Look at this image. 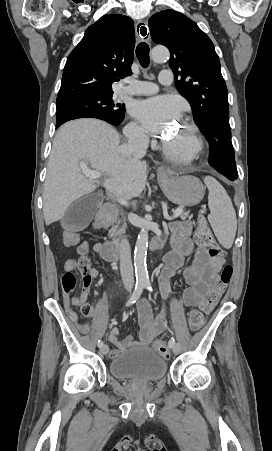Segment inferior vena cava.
Listing matches in <instances>:
<instances>
[{"label": "inferior vena cava", "mask_w": 272, "mask_h": 451, "mask_svg": "<svg viewBox=\"0 0 272 451\" xmlns=\"http://www.w3.org/2000/svg\"><path fill=\"white\" fill-rule=\"evenodd\" d=\"M149 140L142 132H137L133 136H129L128 144H123L121 154L124 158L130 156H145L148 148ZM120 273L125 287H133L134 273L131 257L130 243L126 237H123L120 243Z\"/></svg>", "instance_id": "obj_1"}]
</instances>
